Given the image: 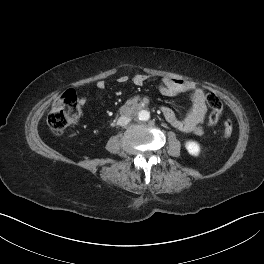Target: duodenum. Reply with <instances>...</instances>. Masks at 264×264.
Masks as SVG:
<instances>
[{
    "mask_svg": "<svg viewBox=\"0 0 264 264\" xmlns=\"http://www.w3.org/2000/svg\"><path fill=\"white\" fill-rule=\"evenodd\" d=\"M141 108H143L142 105H138V106L136 107V109H141ZM131 112H132V111H131L129 108H124V109L122 110V116L125 117V118H127V117H129V116L131 115Z\"/></svg>",
    "mask_w": 264,
    "mask_h": 264,
    "instance_id": "1",
    "label": "duodenum"
}]
</instances>
